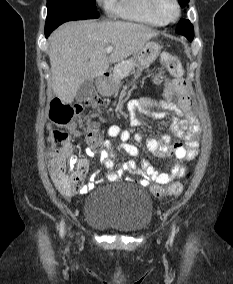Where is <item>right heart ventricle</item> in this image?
<instances>
[{
    "label": "right heart ventricle",
    "mask_w": 233,
    "mask_h": 284,
    "mask_svg": "<svg viewBox=\"0 0 233 284\" xmlns=\"http://www.w3.org/2000/svg\"><path fill=\"white\" fill-rule=\"evenodd\" d=\"M106 10L127 21L160 27L151 9L152 0H104Z\"/></svg>",
    "instance_id": "1"
}]
</instances>
